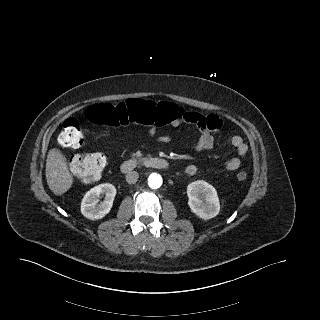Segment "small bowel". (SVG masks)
<instances>
[{"label": "small bowel", "instance_id": "1", "mask_svg": "<svg viewBox=\"0 0 320 320\" xmlns=\"http://www.w3.org/2000/svg\"><path fill=\"white\" fill-rule=\"evenodd\" d=\"M180 110V116L175 118L171 124L174 126L179 125L180 123H190L198 126L200 130V137L195 145L196 150H206L210 149L214 144V137L212 135L213 130H217L222 127V120L217 116H205L201 113L194 111H184ZM156 132V129L152 127L149 130V134L153 136ZM160 140L166 142L169 140L168 136L160 137ZM231 145L237 152V157H233L226 162V169L229 171L237 170L241 164L242 160L248 153V145L244 142L242 137L235 135L231 138ZM197 166L194 164L187 165L185 167L184 173L187 176H193L197 173Z\"/></svg>", "mask_w": 320, "mask_h": 320}]
</instances>
